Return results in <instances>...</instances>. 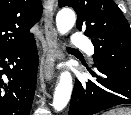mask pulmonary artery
I'll return each instance as SVG.
<instances>
[{
    "mask_svg": "<svg viewBox=\"0 0 131 115\" xmlns=\"http://www.w3.org/2000/svg\"><path fill=\"white\" fill-rule=\"evenodd\" d=\"M71 44L75 47L85 49L89 55H93L94 53V48L90 40L86 36L82 35L81 33L76 32L73 35L71 39Z\"/></svg>",
    "mask_w": 131,
    "mask_h": 115,
    "instance_id": "pulmonary-artery-1",
    "label": "pulmonary artery"
}]
</instances>
